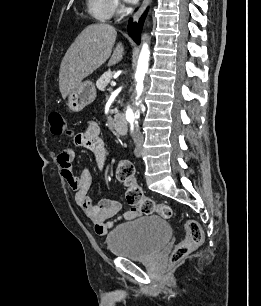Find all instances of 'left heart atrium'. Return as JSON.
<instances>
[{
	"label": "left heart atrium",
	"mask_w": 261,
	"mask_h": 306,
	"mask_svg": "<svg viewBox=\"0 0 261 306\" xmlns=\"http://www.w3.org/2000/svg\"><path fill=\"white\" fill-rule=\"evenodd\" d=\"M126 1L127 3H136L138 0H124Z\"/></svg>",
	"instance_id": "1"
}]
</instances>
